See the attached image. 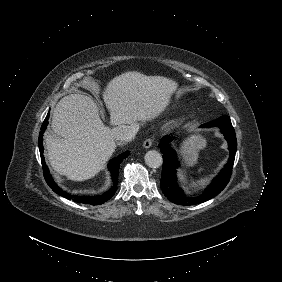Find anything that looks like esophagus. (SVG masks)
<instances>
[{
	"label": "esophagus",
	"mask_w": 282,
	"mask_h": 282,
	"mask_svg": "<svg viewBox=\"0 0 282 282\" xmlns=\"http://www.w3.org/2000/svg\"><path fill=\"white\" fill-rule=\"evenodd\" d=\"M152 144H153V140L151 138H149V139H146L144 141L143 147L148 149V148H150L152 146Z\"/></svg>",
	"instance_id": "esophagus-1"
}]
</instances>
